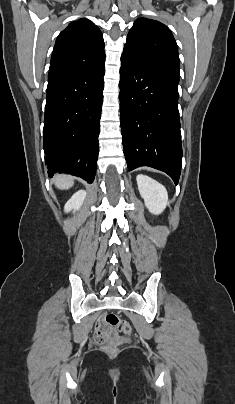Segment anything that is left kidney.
Returning a JSON list of instances; mask_svg holds the SVG:
<instances>
[{
    "mask_svg": "<svg viewBox=\"0 0 235 404\" xmlns=\"http://www.w3.org/2000/svg\"><path fill=\"white\" fill-rule=\"evenodd\" d=\"M138 189L145 206L152 214L158 215L166 208L168 194L163 185L154 179L139 174L136 177Z\"/></svg>",
    "mask_w": 235,
    "mask_h": 404,
    "instance_id": "left-kidney-1",
    "label": "left kidney"
}]
</instances>
